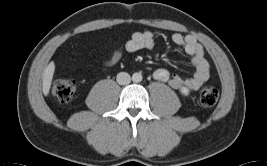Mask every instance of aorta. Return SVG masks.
I'll list each match as a JSON object with an SVG mask.
<instances>
[{
  "instance_id": "aorta-1",
  "label": "aorta",
  "mask_w": 267,
  "mask_h": 166,
  "mask_svg": "<svg viewBox=\"0 0 267 166\" xmlns=\"http://www.w3.org/2000/svg\"><path fill=\"white\" fill-rule=\"evenodd\" d=\"M132 80L136 83L141 82L142 81V75L140 73H134L132 75Z\"/></svg>"
}]
</instances>
